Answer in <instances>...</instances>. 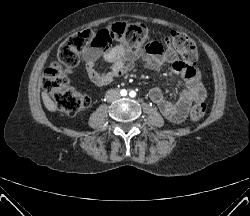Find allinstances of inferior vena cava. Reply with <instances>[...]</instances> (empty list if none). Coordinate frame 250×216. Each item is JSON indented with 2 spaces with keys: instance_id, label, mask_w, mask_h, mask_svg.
Listing matches in <instances>:
<instances>
[{
  "instance_id": "602c4592",
  "label": "inferior vena cava",
  "mask_w": 250,
  "mask_h": 216,
  "mask_svg": "<svg viewBox=\"0 0 250 216\" xmlns=\"http://www.w3.org/2000/svg\"><path fill=\"white\" fill-rule=\"evenodd\" d=\"M106 98L108 102H113L120 98V93L114 89L108 90L106 93Z\"/></svg>"
}]
</instances>
